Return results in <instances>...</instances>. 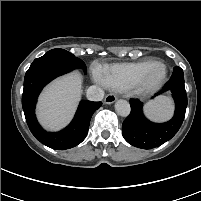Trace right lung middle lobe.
I'll list each match as a JSON object with an SVG mask.
<instances>
[{"label": "right lung middle lobe", "mask_w": 201, "mask_h": 201, "mask_svg": "<svg viewBox=\"0 0 201 201\" xmlns=\"http://www.w3.org/2000/svg\"><path fill=\"white\" fill-rule=\"evenodd\" d=\"M48 53H58V54L66 56L69 60L75 63L78 68H82L84 72L86 73V65L84 64V62L80 60L79 58L75 57L70 52L63 49H52Z\"/></svg>", "instance_id": "dd1d6c3e"}]
</instances>
